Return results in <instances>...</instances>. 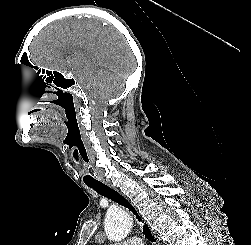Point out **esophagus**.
<instances>
[{
  "instance_id": "obj_1",
  "label": "esophagus",
  "mask_w": 251,
  "mask_h": 245,
  "mask_svg": "<svg viewBox=\"0 0 251 245\" xmlns=\"http://www.w3.org/2000/svg\"><path fill=\"white\" fill-rule=\"evenodd\" d=\"M107 185H109L110 187H113V185L108 182L107 180H103ZM152 234L154 236V238L156 239L157 245H160V239L159 237L156 235V233L154 231H152Z\"/></svg>"
}]
</instances>
